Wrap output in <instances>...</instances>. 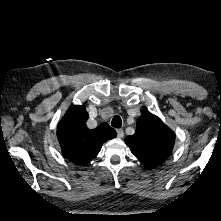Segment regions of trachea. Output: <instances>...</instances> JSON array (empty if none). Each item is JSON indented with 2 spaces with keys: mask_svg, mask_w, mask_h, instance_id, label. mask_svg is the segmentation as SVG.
Listing matches in <instances>:
<instances>
[{
  "mask_svg": "<svg viewBox=\"0 0 221 221\" xmlns=\"http://www.w3.org/2000/svg\"><path fill=\"white\" fill-rule=\"evenodd\" d=\"M111 125L115 128H121L122 126V120L120 118V116L116 115L113 117Z\"/></svg>",
  "mask_w": 221,
  "mask_h": 221,
  "instance_id": "3493384b",
  "label": "trachea"
}]
</instances>
